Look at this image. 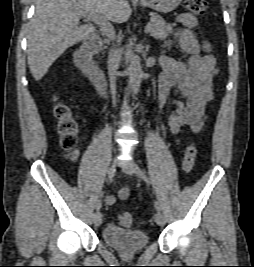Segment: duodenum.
I'll return each instance as SVG.
<instances>
[{"label": "duodenum", "instance_id": "duodenum-1", "mask_svg": "<svg viewBox=\"0 0 254 267\" xmlns=\"http://www.w3.org/2000/svg\"><path fill=\"white\" fill-rule=\"evenodd\" d=\"M102 42L96 36H91L78 48L74 54V61L77 67L92 83L100 95L105 94L106 79L102 70L93 60V56L101 49Z\"/></svg>", "mask_w": 254, "mask_h": 267}]
</instances>
